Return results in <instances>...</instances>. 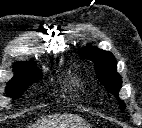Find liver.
<instances>
[{"label":"liver","instance_id":"1","mask_svg":"<svg viewBox=\"0 0 142 128\" xmlns=\"http://www.w3.org/2000/svg\"><path fill=\"white\" fill-rule=\"evenodd\" d=\"M83 122V119L78 115L73 114H57L43 118L31 128H78Z\"/></svg>","mask_w":142,"mask_h":128}]
</instances>
